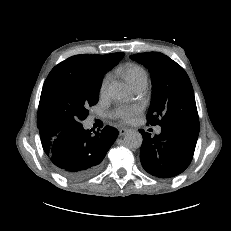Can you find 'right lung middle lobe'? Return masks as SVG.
<instances>
[{
  "label": "right lung middle lobe",
  "mask_w": 231,
  "mask_h": 231,
  "mask_svg": "<svg viewBox=\"0 0 231 231\" xmlns=\"http://www.w3.org/2000/svg\"><path fill=\"white\" fill-rule=\"evenodd\" d=\"M124 56L121 53L119 60ZM110 67L95 71L59 63L46 78L39 102L37 127L78 125L98 102L103 75Z\"/></svg>",
  "instance_id": "obj_1"
}]
</instances>
